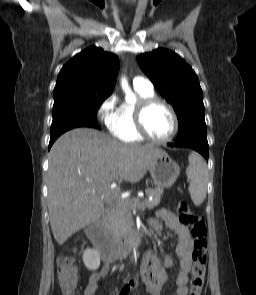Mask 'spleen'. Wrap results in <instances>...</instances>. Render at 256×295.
Masks as SVG:
<instances>
[{"label":"spleen","mask_w":256,"mask_h":295,"mask_svg":"<svg viewBox=\"0 0 256 295\" xmlns=\"http://www.w3.org/2000/svg\"><path fill=\"white\" fill-rule=\"evenodd\" d=\"M188 161L189 166L186 169L187 177L190 180L188 190L193 203L199 206L206 198L208 183L207 165L197 152H192L188 157Z\"/></svg>","instance_id":"obj_1"}]
</instances>
